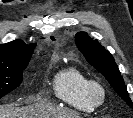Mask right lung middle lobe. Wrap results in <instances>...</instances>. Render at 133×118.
Here are the masks:
<instances>
[{"instance_id":"dd1d6c3e","label":"right lung middle lobe","mask_w":133,"mask_h":118,"mask_svg":"<svg viewBox=\"0 0 133 118\" xmlns=\"http://www.w3.org/2000/svg\"><path fill=\"white\" fill-rule=\"evenodd\" d=\"M28 64L15 67H0V98L17 88L23 79L22 72Z\"/></svg>"}]
</instances>
